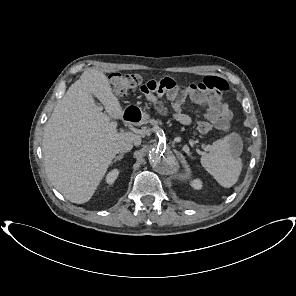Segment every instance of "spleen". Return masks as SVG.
<instances>
[{
	"label": "spleen",
	"instance_id": "spleen-1",
	"mask_svg": "<svg viewBox=\"0 0 296 296\" xmlns=\"http://www.w3.org/2000/svg\"><path fill=\"white\" fill-rule=\"evenodd\" d=\"M241 148L235 134H229L213 142L211 151L200 159L202 166L223 187L233 186L241 173L239 158Z\"/></svg>",
	"mask_w": 296,
	"mask_h": 296
}]
</instances>
